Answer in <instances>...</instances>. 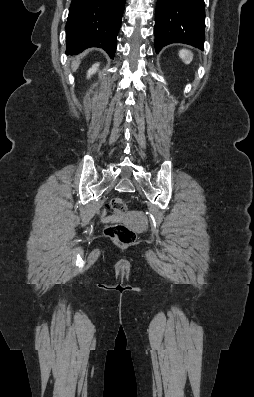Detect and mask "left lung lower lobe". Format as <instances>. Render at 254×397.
Returning <instances> with one entry per match:
<instances>
[{"mask_svg":"<svg viewBox=\"0 0 254 397\" xmlns=\"http://www.w3.org/2000/svg\"><path fill=\"white\" fill-rule=\"evenodd\" d=\"M204 0H161L156 7L155 49L171 43L204 48Z\"/></svg>","mask_w":254,"mask_h":397,"instance_id":"0a47b994","label":"left lung lower lobe"}]
</instances>
